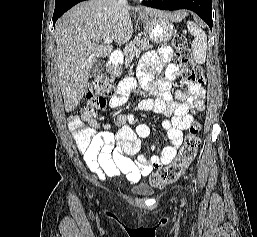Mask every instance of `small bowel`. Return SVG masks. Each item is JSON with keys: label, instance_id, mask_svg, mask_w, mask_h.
<instances>
[{"label": "small bowel", "instance_id": "1", "mask_svg": "<svg viewBox=\"0 0 257 237\" xmlns=\"http://www.w3.org/2000/svg\"><path fill=\"white\" fill-rule=\"evenodd\" d=\"M172 51L162 47L158 51L146 53L141 61L139 77L124 78L108 102L110 108L122 107L130 94L140 85L143 89L157 94L154 99H142L134 110L163 114L161 122L170 144L160 148L158 154L145 157L141 154V140L147 138L150 130L146 124L139 123L133 129L127 123H135L133 114H118L114 119L116 133L100 132L101 124L97 121L94 109L103 108L106 102L95 107L85 106L81 118L88 122L86 131L92 136L90 144L83 148L74 136L79 151L89 170L99 179L124 175L128 182L136 183L148 176L155 168L169 164L177 155L183 141V133L194 122L195 116L204 106L205 92L199 85L183 82L182 89L173 95L169 81L174 79L177 66L170 63ZM164 72V79L153 80L151 69Z\"/></svg>", "mask_w": 257, "mask_h": 237}]
</instances>
